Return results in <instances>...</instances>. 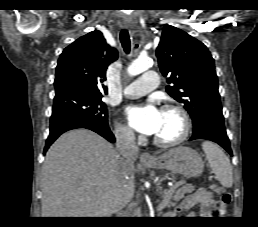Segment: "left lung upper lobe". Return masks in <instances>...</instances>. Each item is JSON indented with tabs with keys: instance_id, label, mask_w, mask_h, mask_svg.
Masks as SVG:
<instances>
[{
	"instance_id": "left-lung-upper-lobe-1",
	"label": "left lung upper lobe",
	"mask_w": 258,
	"mask_h": 227,
	"mask_svg": "<svg viewBox=\"0 0 258 227\" xmlns=\"http://www.w3.org/2000/svg\"><path fill=\"white\" fill-rule=\"evenodd\" d=\"M156 56L160 70L170 84L166 91L184 104L193 120L194 131L209 119H224L214 59L202 42L166 25Z\"/></svg>"
}]
</instances>
